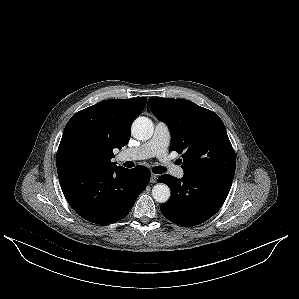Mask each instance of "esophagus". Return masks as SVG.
<instances>
[{"label": "esophagus", "mask_w": 299, "mask_h": 299, "mask_svg": "<svg viewBox=\"0 0 299 299\" xmlns=\"http://www.w3.org/2000/svg\"><path fill=\"white\" fill-rule=\"evenodd\" d=\"M156 181H157V175L154 173H151L150 183H155Z\"/></svg>", "instance_id": "esophagus-1"}]
</instances>
